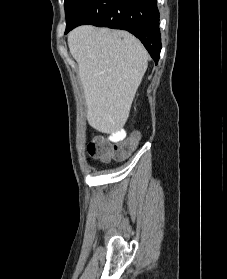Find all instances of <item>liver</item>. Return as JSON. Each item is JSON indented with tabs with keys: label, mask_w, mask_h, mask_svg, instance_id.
Here are the masks:
<instances>
[{
	"label": "liver",
	"mask_w": 227,
	"mask_h": 279,
	"mask_svg": "<svg viewBox=\"0 0 227 279\" xmlns=\"http://www.w3.org/2000/svg\"><path fill=\"white\" fill-rule=\"evenodd\" d=\"M78 64L87 120L111 134L125 125L136 91L148 67V53L127 31L84 25L68 35Z\"/></svg>",
	"instance_id": "obj_1"
}]
</instances>
